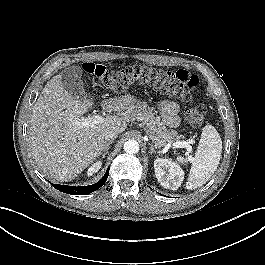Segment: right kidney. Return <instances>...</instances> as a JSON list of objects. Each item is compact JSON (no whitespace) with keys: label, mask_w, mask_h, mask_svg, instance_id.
I'll return each instance as SVG.
<instances>
[{"label":"right kidney","mask_w":265,"mask_h":265,"mask_svg":"<svg viewBox=\"0 0 265 265\" xmlns=\"http://www.w3.org/2000/svg\"><path fill=\"white\" fill-rule=\"evenodd\" d=\"M101 166H102L101 161L95 162L91 167H89V169L87 171V175L92 176L93 174L97 173L98 170L101 168Z\"/></svg>","instance_id":"ca27d5eb"}]
</instances>
